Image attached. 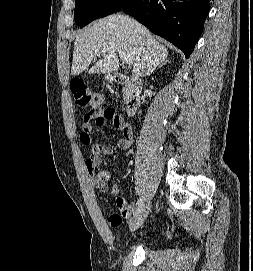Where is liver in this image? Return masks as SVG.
I'll return each instance as SVG.
<instances>
[{
	"instance_id": "obj_1",
	"label": "liver",
	"mask_w": 253,
	"mask_h": 271,
	"mask_svg": "<svg viewBox=\"0 0 253 271\" xmlns=\"http://www.w3.org/2000/svg\"><path fill=\"white\" fill-rule=\"evenodd\" d=\"M119 52L126 53L133 61L134 78L150 75L167 62L168 56L167 48L146 27L126 15L114 14L96 21L76 35L71 74H81L95 57L99 60L89 73L116 72Z\"/></svg>"
}]
</instances>
